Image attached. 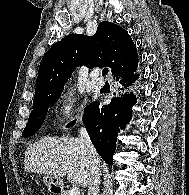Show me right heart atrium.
<instances>
[{"mask_svg": "<svg viewBox=\"0 0 189 195\" xmlns=\"http://www.w3.org/2000/svg\"><path fill=\"white\" fill-rule=\"evenodd\" d=\"M57 112L63 126L71 125L80 119V102L73 90L62 91L57 100Z\"/></svg>", "mask_w": 189, "mask_h": 195, "instance_id": "1", "label": "right heart atrium"}]
</instances>
